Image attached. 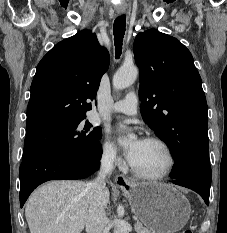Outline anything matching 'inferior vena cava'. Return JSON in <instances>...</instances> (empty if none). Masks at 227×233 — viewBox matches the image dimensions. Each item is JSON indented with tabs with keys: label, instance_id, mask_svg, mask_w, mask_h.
<instances>
[{
	"label": "inferior vena cava",
	"instance_id": "602c4592",
	"mask_svg": "<svg viewBox=\"0 0 227 233\" xmlns=\"http://www.w3.org/2000/svg\"><path fill=\"white\" fill-rule=\"evenodd\" d=\"M114 155H103L100 162V170L95 180L86 186L89 200V215L86 221L87 233H102L106 215L102 206V193L105 189V179L113 170Z\"/></svg>",
	"mask_w": 227,
	"mask_h": 233
}]
</instances>
